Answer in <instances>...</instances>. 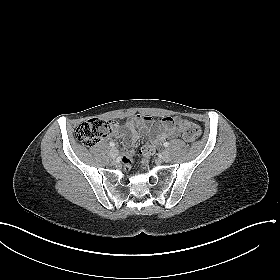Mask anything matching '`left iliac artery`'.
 Here are the masks:
<instances>
[{
    "label": "left iliac artery",
    "mask_w": 280,
    "mask_h": 280,
    "mask_svg": "<svg viewBox=\"0 0 280 280\" xmlns=\"http://www.w3.org/2000/svg\"><path fill=\"white\" fill-rule=\"evenodd\" d=\"M163 145H164V147H168L169 146V142H165Z\"/></svg>",
    "instance_id": "44dca946"
}]
</instances>
